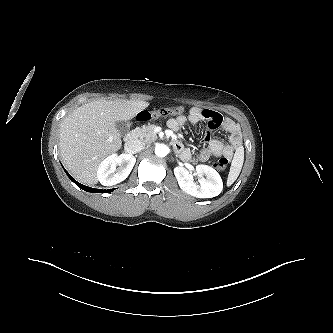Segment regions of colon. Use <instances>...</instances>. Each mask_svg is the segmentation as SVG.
Returning a JSON list of instances; mask_svg holds the SVG:
<instances>
[{
  "instance_id": "obj_1",
  "label": "colon",
  "mask_w": 333,
  "mask_h": 333,
  "mask_svg": "<svg viewBox=\"0 0 333 333\" xmlns=\"http://www.w3.org/2000/svg\"><path fill=\"white\" fill-rule=\"evenodd\" d=\"M183 108L179 106L161 107L154 110H145L138 114L137 119L139 121H148L155 118H164L174 116L182 113ZM228 167V159L225 157L219 158L214 163V168L220 172H226Z\"/></svg>"
}]
</instances>
